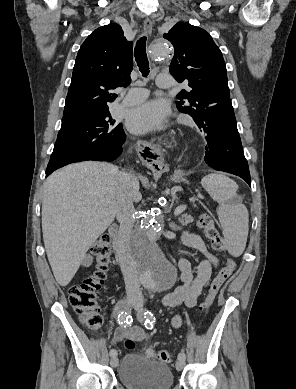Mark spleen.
Segmentation results:
<instances>
[{
    "label": "spleen",
    "mask_w": 296,
    "mask_h": 389,
    "mask_svg": "<svg viewBox=\"0 0 296 389\" xmlns=\"http://www.w3.org/2000/svg\"><path fill=\"white\" fill-rule=\"evenodd\" d=\"M201 185L219 203L218 218L225 248L233 257H239L246 247L249 215L237 197V184L225 175L211 173L202 178Z\"/></svg>",
    "instance_id": "1"
}]
</instances>
